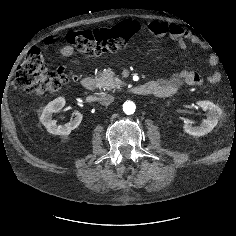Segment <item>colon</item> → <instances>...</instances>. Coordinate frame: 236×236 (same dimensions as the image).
Segmentation results:
<instances>
[{
    "label": "colon",
    "mask_w": 236,
    "mask_h": 236,
    "mask_svg": "<svg viewBox=\"0 0 236 236\" xmlns=\"http://www.w3.org/2000/svg\"><path fill=\"white\" fill-rule=\"evenodd\" d=\"M137 30L136 22L124 21L113 27L69 32L64 38L73 48L94 56L125 47ZM53 41V36L46 40L47 44ZM72 79L73 75L64 69L49 71L43 52L37 47L28 53L16 73L18 85L24 91L39 96L54 94Z\"/></svg>",
    "instance_id": "colon-1"
}]
</instances>
